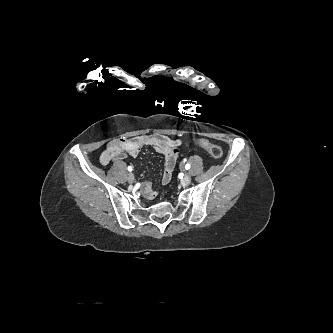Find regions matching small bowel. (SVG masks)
Listing matches in <instances>:
<instances>
[{
	"mask_svg": "<svg viewBox=\"0 0 333 333\" xmlns=\"http://www.w3.org/2000/svg\"><path fill=\"white\" fill-rule=\"evenodd\" d=\"M181 145L182 141L180 139H172L160 133L141 135L132 139L119 138L111 141L106 146L100 155V163L106 166L110 162L123 159L127 156L136 157L142 148L152 147L158 153L165 156L161 183L167 184L172 178ZM141 190L148 199H153L156 196V191L151 182H144Z\"/></svg>",
	"mask_w": 333,
	"mask_h": 333,
	"instance_id": "c3829d8e",
	"label": "small bowel"
}]
</instances>
